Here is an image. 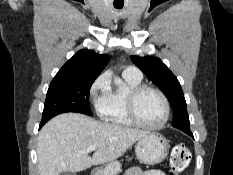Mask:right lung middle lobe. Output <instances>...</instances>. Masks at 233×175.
Masks as SVG:
<instances>
[{
	"instance_id": "obj_1",
	"label": "right lung middle lobe",
	"mask_w": 233,
	"mask_h": 175,
	"mask_svg": "<svg viewBox=\"0 0 233 175\" xmlns=\"http://www.w3.org/2000/svg\"><path fill=\"white\" fill-rule=\"evenodd\" d=\"M93 79L52 81L44 104L42 124L52 117L65 112H78L92 115L89 105V92Z\"/></svg>"
}]
</instances>
